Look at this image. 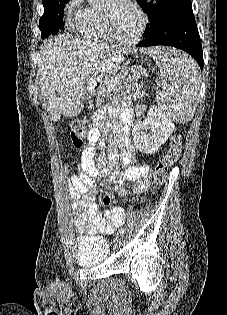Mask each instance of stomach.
I'll return each instance as SVG.
<instances>
[{
  "label": "stomach",
  "instance_id": "1",
  "mask_svg": "<svg viewBox=\"0 0 227 315\" xmlns=\"http://www.w3.org/2000/svg\"><path fill=\"white\" fill-rule=\"evenodd\" d=\"M120 61V55H111L106 68H97L96 71H92L90 80L87 81L85 94L90 95V91H102L104 89L103 82H117V69ZM105 89H108V86H105Z\"/></svg>",
  "mask_w": 227,
  "mask_h": 315
}]
</instances>
